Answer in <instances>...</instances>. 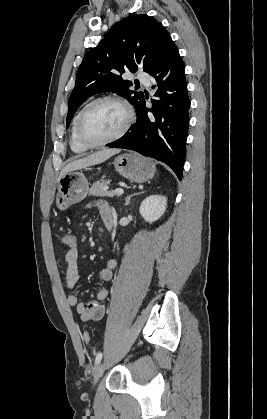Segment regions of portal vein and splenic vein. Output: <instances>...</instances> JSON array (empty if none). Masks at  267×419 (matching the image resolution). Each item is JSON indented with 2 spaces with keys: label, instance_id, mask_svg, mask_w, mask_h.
I'll return each mask as SVG.
<instances>
[{
  "label": "portal vein and splenic vein",
  "instance_id": "portal-vein-and-splenic-vein-1",
  "mask_svg": "<svg viewBox=\"0 0 267 419\" xmlns=\"http://www.w3.org/2000/svg\"><path fill=\"white\" fill-rule=\"evenodd\" d=\"M114 193L117 194V195H122L124 193V190L121 189V188H117V189L114 190Z\"/></svg>",
  "mask_w": 267,
  "mask_h": 419
}]
</instances>
